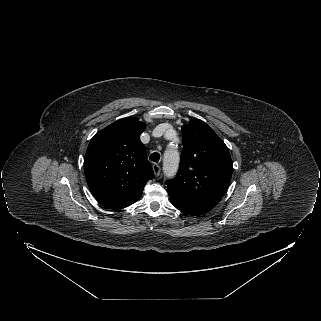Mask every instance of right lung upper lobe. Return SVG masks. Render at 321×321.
Wrapping results in <instances>:
<instances>
[{
	"label": "right lung upper lobe",
	"instance_id": "right-lung-upper-lobe-1",
	"mask_svg": "<svg viewBox=\"0 0 321 321\" xmlns=\"http://www.w3.org/2000/svg\"><path fill=\"white\" fill-rule=\"evenodd\" d=\"M145 125L138 119H120L91 139L84 159L90 191L106 208L122 209L135 203L154 177L140 141Z\"/></svg>",
	"mask_w": 321,
	"mask_h": 321
}]
</instances>
